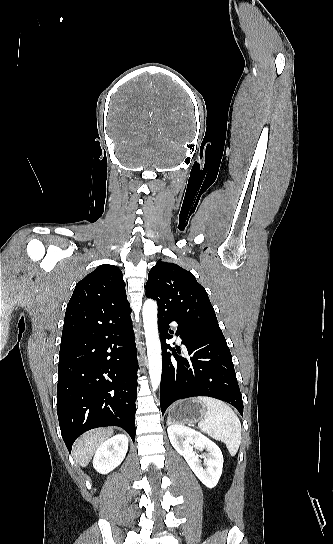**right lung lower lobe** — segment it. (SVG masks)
I'll return each mask as SVG.
<instances>
[{
  "label": "right lung lower lobe",
  "mask_w": 333,
  "mask_h": 544,
  "mask_svg": "<svg viewBox=\"0 0 333 544\" xmlns=\"http://www.w3.org/2000/svg\"><path fill=\"white\" fill-rule=\"evenodd\" d=\"M137 370L130 313L62 338L57 413L69 452L81 434L97 427L119 426L135 440Z\"/></svg>",
  "instance_id": "1"
}]
</instances>
